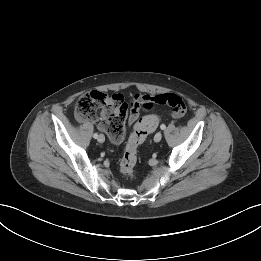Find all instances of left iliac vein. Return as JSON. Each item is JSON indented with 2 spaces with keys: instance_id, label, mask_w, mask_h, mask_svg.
<instances>
[{
  "instance_id": "left-iliac-vein-1",
  "label": "left iliac vein",
  "mask_w": 261,
  "mask_h": 261,
  "mask_svg": "<svg viewBox=\"0 0 261 261\" xmlns=\"http://www.w3.org/2000/svg\"><path fill=\"white\" fill-rule=\"evenodd\" d=\"M161 139H162V134L160 132L156 133L154 136V141L160 142Z\"/></svg>"
}]
</instances>
